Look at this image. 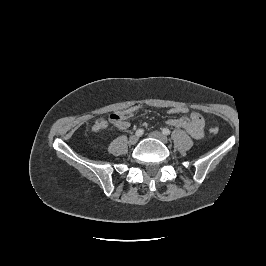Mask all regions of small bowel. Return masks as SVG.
<instances>
[{
  "label": "small bowel",
  "instance_id": "obj_1",
  "mask_svg": "<svg viewBox=\"0 0 266 266\" xmlns=\"http://www.w3.org/2000/svg\"><path fill=\"white\" fill-rule=\"evenodd\" d=\"M169 126L175 128H184L189 135L194 139H201L204 136V120L199 113L193 112L189 116L182 118H171L167 121ZM108 123L105 118H99L92 126L94 132H100L106 129ZM116 126L120 130H126L129 128L130 123L128 120H124Z\"/></svg>",
  "mask_w": 266,
  "mask_h": 266
}]
</instances>
